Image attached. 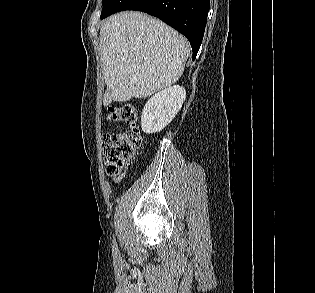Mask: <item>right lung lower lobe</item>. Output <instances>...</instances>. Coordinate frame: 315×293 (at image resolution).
Instances as JSON below:
<instances>
[{
  "label": "right lung lower lobe",
  "instance_id": "obj_1",
  "mask_svg": "<svg viewBox=\"0 0 315 293\" xmlns=\"http://www.w3.org/2000/svg\"><path fill=\"white\" fill-rule=\"evenodd\" d=\"M209 8V0H112L101 19L124 10L153 15L187 37L194 60L202 42Z\"/></svg>",
  "mask_w": 315,
  "mask_h": 293
}]
</instances>
